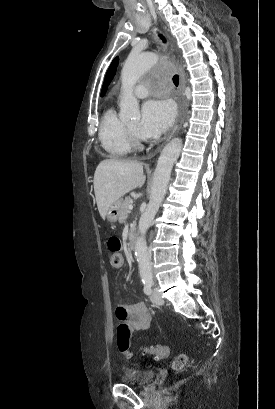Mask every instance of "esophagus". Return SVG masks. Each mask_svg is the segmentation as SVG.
<instances>
[{"mask_svg":"<svg viewBox=\"0 0 275 409\" xmlns=\"http://www.w3.org/2000/svg\"><path fill=\"white\" fill-rule=\"evenodd\" d=\"M185 88H186V79H185V76H184L182 70L179 69V93H180L182 99L185 98ZM177 128H178V125H177V124L174 125V127H173V129H172L170 135H169V136L167 137V139H166L167 141L170 140V138H171L172 135L175 133V131L177 130Z\"/></svg>","mask_w":275,"mask_h":409,"instance_id":"esophagus-1","label":"esophagus"}]
</instances>
